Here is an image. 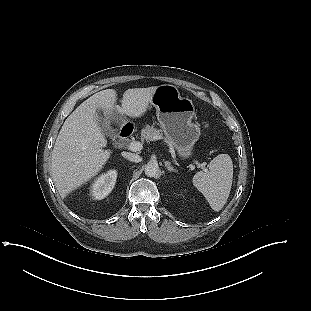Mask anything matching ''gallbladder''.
I'll return each mask as SVG.
<instances>
[{
	"label": "gallbladder",
	"instance_id": "gallbladder-1",
	"mask_svg": "<svg viewBox=\"0 0 311 311\" xmlns=\"http://www.w3.org/2000/svg\"><path fill=\"white\" fill-rule=\"evenodd\" d=\"M97 123L99 124L104 135L113 137L114 130L110 127L108 121L99 113L97 114Z\"/></svg>",
	"mask_w": 311,
	"mask_h": 311
}]
</instances>
